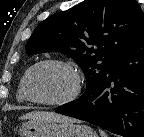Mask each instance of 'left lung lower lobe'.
<instances>
[{
  "label": "left lung lower lobe",
  "instance_id": "1",
  "mask_svg": "<svg viewBox=\"0 0 144 137\" xmlns=\"http://www.w3.org/2000/svg\"><path fill=\"white\" fill-rule=\"evenodd\" d=\"M55 111L124 137H144V27L94 89Z\"/></svg>",
  "mask_w": 144,
  "mask_h": 137
}]
</instances>
